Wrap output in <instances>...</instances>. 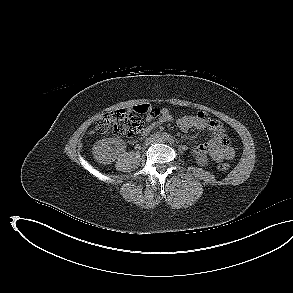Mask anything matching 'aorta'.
I'll list each match as a JSON object with an SVG mask.
<instances>
[{"label":"aorta","mask_w":293,"mask_h":293,"mask_svg":"<svg viewBox=\"0 0 293 293\" xmlns=\"http://www.w3.org/2000/svg\"><path fill=\"white\" fill-rule=\"evenodd\" d=\"M162 139L166 140V136H163V138H162Z\"/></svg>","instance_id":"aorta-1"}]
</instances>
